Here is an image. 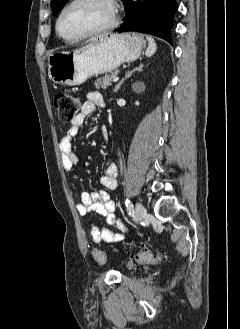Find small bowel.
Wrapping results in <instances>:
<instances>
[{
	"instance_id": "obj_1",
	"label": "small bowel",
	"mask_w": 240,
	"mask_h": 329,
	"mask_svg": "<svg viewBox=\"0 0 240 329\" xmlns=\"http://www.w3.org/2000/svg\"><path fill=\"white\" fill-rule=\"evenodd\" d=\"M105 100L101 93L90 92L87 100L82 106L79 114L72 120L71 127L61 139L59 148L64 169L71 172L78 164L79 158L72 149V140L78 136L80 129L86 119L94 112L97 107H105ZM102 137L108 140L107 129L102 127ZM118 167L115 163H108L105 166L104 173L99 182L104 189L97 192H84L81 194V200L76 204V209L81 216L87 217L91 213H97L105 218L106 224L115 227L118 231L112 232L106 227H98L90 224L89 236L95 243L101 242H119L125 239L128 233V227L115 213V203L110 199L107 190H115L117 187Z\"/></svg>"
}]
</instances>
